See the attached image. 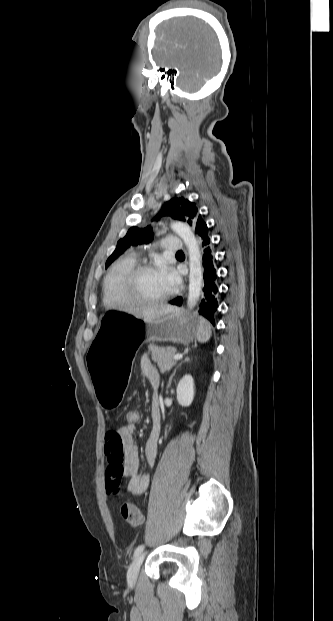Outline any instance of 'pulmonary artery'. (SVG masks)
I'll return each instance as SVG.
<instances>
[{"label": "pulmonary artery", "mask_w": 333, "mask_h": 621, "mask_svg": "<svg viewBox=\"0 0 333 621\" xmlns=\"http://www.w3.org/2000/svg\"><path fill=\"white\" fill-rule=\"evenodd\" d=\"M163 249L167 252L182 251L184 248L183 241L176 236L166 237L162 242Z\"/></svg>", "instance_id": "e3ab8cb5"}]
</instances>
